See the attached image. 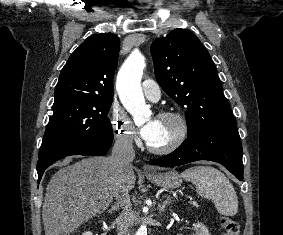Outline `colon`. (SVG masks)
Listing matches in <instances>:
<instances>
[{
  "label": "colon",
  "mask_w": 283,
  "mask_h": 235,
  "mask_svg": "<svg viewBox=\"0 0 283 235\" xmlns=\"http://www.w3.org/2000/svg\"><path fill=\"white\" fill-rule=\"evenodd\" d=\"M220 223L225 231L224 235H239L240 226L235 219L228 216H222L220 218Z\"/></svg>",
  "instance_id": "1"
}]
</instances>
